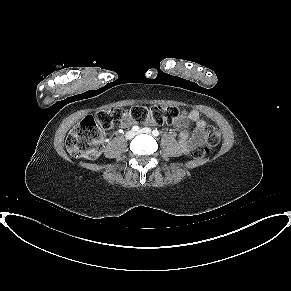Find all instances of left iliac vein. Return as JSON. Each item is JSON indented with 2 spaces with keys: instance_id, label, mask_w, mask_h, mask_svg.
Returning a JSON list of instances; mask_svg holds the SVG:
<instances>
[{
  "instance_id": "4c4485c4",
  "label": "left iliac vein",
  "mask_w": 291,
  "mask_h": 291,
  "mask_svg": "<svg viewBox=\"0 0 291 291\" xmlns=\"http://www.w3.org/2000/svg\"><path fill=\"white\" fill-rule=\"evenodd\" d=\"M140 133L150 134L151 130L149 128H143V129L139 130L136 134H140Z\"/></svg>"
}]
</instances>
